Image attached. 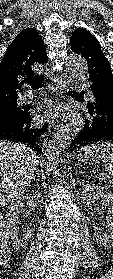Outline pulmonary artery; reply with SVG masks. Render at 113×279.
<instances>
[{
	"label": "pulmonary artery",
	"mask_w": 113,
	"mask_h": 279,
	"mask_svg": "<svg viewBox=\"0 0 113 279\" xmlns=\"http://www.w3.org/2000/svg\"><path fill=\"white\" fill-rule=\"evenodd\" d=\"M33 98V93L31 91H28L27 93L20 96L19 100L20 103H26L30 101Z\"/></svg>",
	"instance_id": "e3ab8cb5"
}]
</instances>
